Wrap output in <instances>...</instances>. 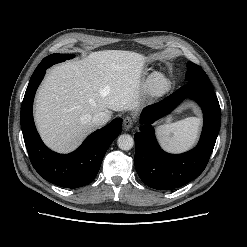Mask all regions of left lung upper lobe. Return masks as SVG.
Instances as JSON below:
<instances>
[{"label":"left lung upper lobe","instance_id":"left-lung-upper-lobe-1","mask_svg":"<svg viewBox=\"0 0 247 247\" xmlns=\"http://www.w3.org/2000/svg\"><path fill=\"white\" fill-rule=\"evenodd\" d=\"M186 81L201 82L211 85V82L203 69L191 61L187 63Z\"/></svg>","mask_w":247,"mask_h":247}]
</instances>
